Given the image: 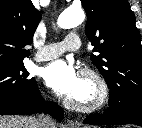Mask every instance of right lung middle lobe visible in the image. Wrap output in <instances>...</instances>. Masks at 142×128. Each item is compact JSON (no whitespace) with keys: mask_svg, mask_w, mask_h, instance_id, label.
Instances as JSON below:
<instances>
[{"mask_svg":"<svg viewBox=\"0 0 142 128\" xmlns=\"http://www.w3.org/2000/svg\"><path fill=\"white\" fill-rule=\"evenodd\" d=\"M24 64L0 65V98L22 97L31 93L37 86L34 78H29Z\"/></svg>","mask_w":142,"mask_h":128,"instance_id":"dd1d6c3e","label":"right lung middle lobe"}]
</instances>
